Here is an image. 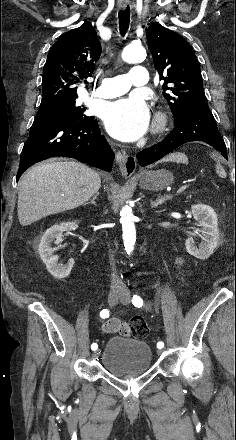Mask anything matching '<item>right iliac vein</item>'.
Masks as SVG:
<instances>
[{
	"mask_svg": "<svg viewBox=\"0 0 236 440\" xmlns=\"http://www.w3.org/2000/svg\"><path fill=\"white\" fill-rule=\"evenodd\" d=\"M120 295H121V294L118 293V292L111 291V292L108 294V304H109L110 306H115V305L117 304V302H118V299H119ZM98 355H99V351H95V352L93 353V358L98 357Z\"/></svg>",
	"mask_w": 236,
	"mask_h": 440,
	"instance_id": "obj_1",
	"label": "right iliac vein"
}]
</instances>
